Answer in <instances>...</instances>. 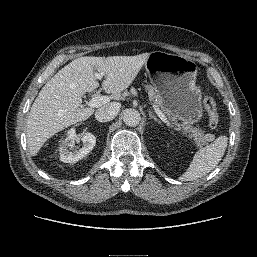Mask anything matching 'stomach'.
<instances>
[{"label": "stomach", "mask_w": 257, "mask_h": 257, "mask_svg": "<svg viewBox=\"0 0 257 257\" xmlns=\"http://www.w3.org/2000/svg\"><path fill=\"white\" fill-rule=\"evenodd\" d=\"M145 68L171 116L190 125L202 119V92L196 86L198 67L194 60L154 51L149 54Z\"/></svg>", "instance_id": "obj_1"}]
</instances>
